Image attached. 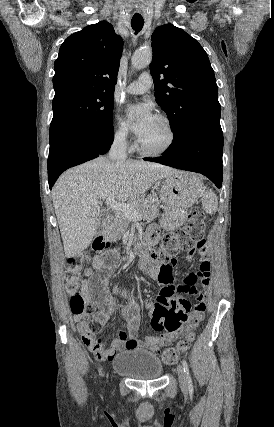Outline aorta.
<instances>
[{
    "label": "aorta",
    "instance_id": "aorta-1",
    "mask_svg": "<svg viewBox=\"0 0 274 427\" xmlns=\"http://www.w3.org/2000/svg\"><path fill=\"white\" fill-rule=\"evenodd\" d=\"M152 56L151 49H139L135 51L131 59L132 67L137 70L147 67L152 61Z\"/></svg>",
    "mask_w": 274,
    "mask_h": 427
}]
</instances>
